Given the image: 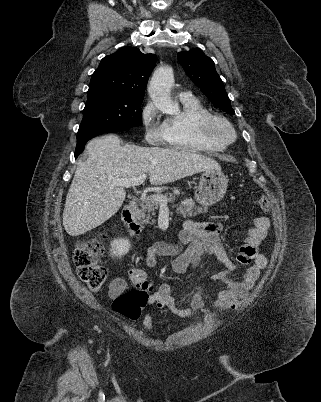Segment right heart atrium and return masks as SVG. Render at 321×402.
Instances as JSON below:
<instances>
[{
    "instance_id": "d8ad5b80",
    "label": "right heart atrium",
    "mask_w": 321,
    "mask_h": 402,
    "mask_svg": "<svg viewBox=\"0 0 321 402\" xmlns=\"http://www.w3.org/2000/svg\"><path fill=\"white\" fill-rule=\"evenodd\" d=\"M159 112L152 102L146 103L141 112V122L144 128L145 139L152 144L163 140V123L158 122Z\"/></svg>"
}]
</instances>
